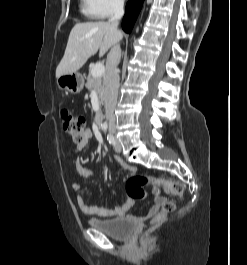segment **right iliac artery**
Segmentation results:
<instances>
[{
  "label": "right iliac artery",
  "instance_id": "82829eb1",
  "mask_svg": "<svg viewBox=\"0 0 247 265\" xmlns=\"http://www.w3.org/2000/svg\"><path fill=\"white\" fill-rule=\"evenodd\" d=\"M101 127H102L103 130H107L108 125L106 123H103Z\"/></svg>",
  "mask_w": 247,
  "mask_h": 265
}]
</instances>
